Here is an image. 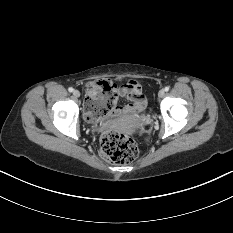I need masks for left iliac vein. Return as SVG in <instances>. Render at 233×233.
Segmentation results:
<instances>
[{"instance_id": "obj_1", "label": "left iliac vein", "mask_w": 233, "mask_h": 233, "mask_svg": "<svg viewBox=\"0 0 233 233\" xmlns=\"http://www.w3.org/2000/svg\"><path fill=\"white\" fill-rule=\"evenodd\" d=\"M164 95H165V91H164L163 89L159 90L158 96H159L160 98H162V97H164Z\"/></svg>"}]
</instances>
